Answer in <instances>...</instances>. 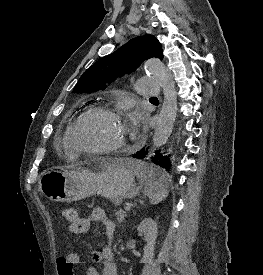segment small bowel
Returning a JSON list of instances; mask_svg holds the SVG:
<instances>
[{"instance_id": "small-bowel-1", "label": "small bowel", "mask_w": 263, "mask_h": 275, "mask_svg": "<svg viewBox=\"0 0 263 275\" xmlns=\"http://www.w3.org/2000/svg\"><path fill=\"white\" fill-rule=\"evenodd\" d=\"M94 222L100 223L103 227L107 242L99 250L92 253V262L101 265V271L99 272L95 265H90L87 269V275H118L117 265L114 262V251L110 243L114 235L115 224L107 217L102 208H94L89 217L78 218L76 221L70 223L69 232L72 234L85 233ZM79 262L80 260L76 264Z\"/></svg>"}]
</instances>
